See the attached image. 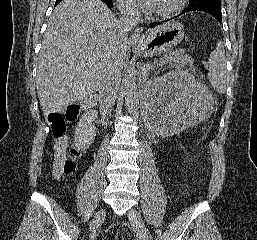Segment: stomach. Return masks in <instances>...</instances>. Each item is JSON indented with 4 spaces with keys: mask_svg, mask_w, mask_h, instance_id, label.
I'll return each instance as SVG.
<instances>
[{
    "mask_svg": "<svg viewBox=\"0 0 257 240\" xmlns=\"http://www.w3.org/2000/svg\"><path fill=\"white\" fill-rule=\"evenodd\" d=\"M184 36L182 24L167 22L153 29L141 45L134 44L133 49L143 56L167 52L178 45Z\"/></svg>",
    "mask_w": 257,
    "mask_h": 240,
    "instance_id": "stomach-1",
    "label": "stomach"
}]
</instances>
